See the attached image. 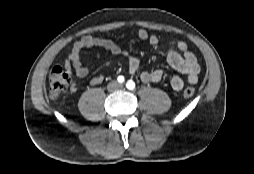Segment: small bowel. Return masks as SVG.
I'll use <instances>...</instances> for the list:
<instances>
[{
  "mask_svg": "<svg viewBox=\"0 0 254 174\" xmlns=\"http://www.w3.org/2000/svg\"><path fill=\"white\" fill-rule=\"evenodd\" d=\"M138 37L141 40H147L151 45H158L159 39L156 35H150L146 30L140 29ZM102 47L110 50L113 54H122L128 60V71L130 74H136L139 69L140 61L137 57L129 54L128 52L121 51L112 41L104 38L94 37L91 35H84L79 40L74 42L71 51L64 62V67L79 78H85L89 74V70L82 64L81 51L85 48ZM166 60L168 64L176 71L185 75V79L179 76H174L170 85L175 91H180L184 88L185 84H196L200 74V65L197 62L195 55L189 50L187 43L178 41L173 48H169L166 52ZM164 77V71L156 69L153 71H143L140 73V79L143 83H157ZM104 81L102 75H96L90 80L93 86L100 85ZM78 88L77 83L73 81L70 85L71 91H76Z\"/></svg>",
  "mask_w": 254,
  "mask_h": 174,
  "instance_id": "c3829d8e",
  "label": "small bowel"
}]
</instances>
